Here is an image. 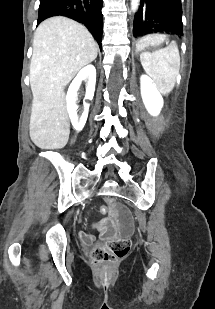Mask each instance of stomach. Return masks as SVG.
Wrapping results in <instances>:
<instances>
[{
	"mask_svg": "<svg viewBox=\"0 0 215 309\" xmlns=\"http://www.w3.org/2000/svg\"><path fill=\"white\" fill-rule=\"evenodd\" d=\"M164 43L167 46H175L174 43L169 42V37L165 34H151L141 37L136 42V50L138 52L150 51L162 46Z\"/></svg>",
	"mask_w": 215,
	"mask_h": 309,
	"instance_id": "stomach-1",
	"label": "stomach"
}]
</instances>
